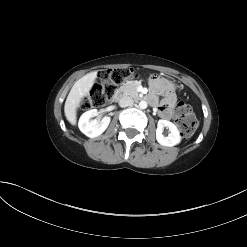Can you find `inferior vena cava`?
Returning <instances> with one entry per match:
<instances>
[{"label":"inferior vena cava","mask_w":247,"mask_h":247,"mask_svg":"<svg viewBox=\"0 0 247 247\" xmlns=\"http://www.w3.org/2000/svg\"><path fill=\"white\" fill-rule=\"evenodd\" d=\"M133 99L130 96H123L120 100H119V105L120 107H127V106H131L133 104Z\"/></svg>","instance_id":"602c4592"}]
</instances>
